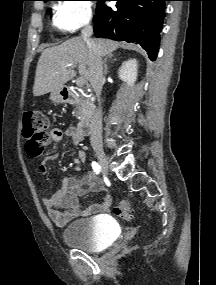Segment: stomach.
Returning a JSON list of instances; mask_svg holds the SVG:
<instances>
[{
    "mask_svg": "<svg viewBox=\"0 0 216 285\" xmlns=\"http://www.w3.org/2000/svg\"><path fill=\"white\" fill-rule=\"evenodd\" d=\"M64 88L61 89H57L51 92L50 95V99L54 102V103H64L66 101V96L63 93Z\"/></svg>",
    "mask_w": 216,
    "mask_h": 285,
    "instance_id": "obj_1",
    "label": "stomach"
}]
</instances>
